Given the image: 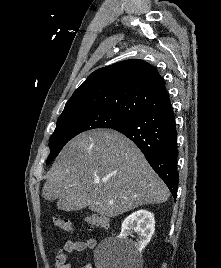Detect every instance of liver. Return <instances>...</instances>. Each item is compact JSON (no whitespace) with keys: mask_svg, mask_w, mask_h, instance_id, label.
<instances>
[{"mask_svg":"<svg viewBox=\"0 0 221 268\" xmlns=\"http://www.w3.org/2000/svg\"><path fill=\"white\" fill-rule=\"evenodd\" d=\"M42 195L58 209L85 205L115 217L165 202L170 192L140 149L121 133L92 130L70 140L48 172ZM65 211V210H64Z\"/></svg>","mask_w":221,"mask_h":268,"instance_id":"obj_1","label":"liver"}]
</instances>
